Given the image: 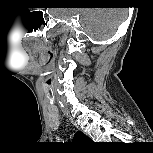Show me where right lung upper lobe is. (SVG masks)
<instances>
[{
  "instance_id": "right-lung-upper-lobe-1",
  "label": "right lung upper lobe",
  "mask_w": 153,
  "mask_h": 153,
  "mask_svg": "<svg viewBox=\"0 0 153 153\" xmlns=\"http://www.w3.org/2000/svg\"><path fill=\"white\" fill-rule=\"evenodd\" d=\"M74 141L91 142V139L85 134H83L81 131H78L74 135Z\"/></svg>"
}]
</instances>
